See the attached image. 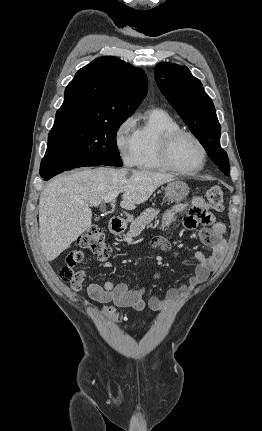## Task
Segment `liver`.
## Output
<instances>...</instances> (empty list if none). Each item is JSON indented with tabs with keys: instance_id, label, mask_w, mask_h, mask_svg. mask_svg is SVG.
<instances>
[{
	"instance_id": "obj_1",
	"label": "liver",
	"mask_w": 262,
	"mask_h": 431,
	"mask_svg": "<svg viewBox=\"0 0 262 431\" xmlns=\"http://www.w3.org/2000/svg\"><path fill=\"white\" fill-rule=\"evenodd\" d=\"M174 176L133 169L85 168L54 178L39 199L40 244L48 261L57 258L90 226V206L113 191L123 192L120 206L132 210Z\"/></svg>"
}]
</instances>
